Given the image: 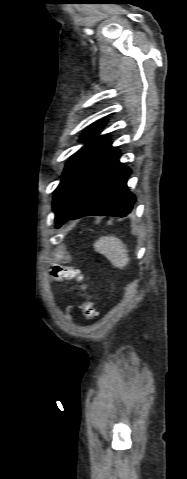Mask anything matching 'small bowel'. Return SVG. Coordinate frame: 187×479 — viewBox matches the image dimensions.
Listing matches in <instances>:
<instances>
[{
    "mask_svg": "<svg viewBox=\"0 0 187 479\" xmlns=\"http://www.w3.org/2000/svg\"><path fill=\"white\" fill-rule=\"evenodd\" d=\"M66 318H67L68 320H71V319H72V316H71V308H70V307L67 308Z\"/></svg>",
    "mask_w": 187,
    "mask_h": 479,
    "instance_id": "small-bowel-1",
    "label": "small bowel"
}]
</instances>
